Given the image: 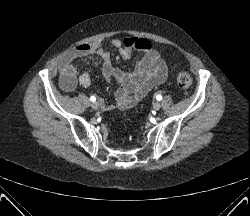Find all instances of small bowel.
<instances>
[{"label": "small bowel", "mask_w": 250, "mask_h": 216, "mask_svg": "<svg viewBox=\"0 0 250 216\" xmlns=\"http://www.w3.org/2000/svg\"><path fill=\"white\" fill-rule=\"evenodd\" d=\"M123 59H129L134 51H140L143 56L132 72H124L111 63V57L100 43L81 44L67 52L59 61L60 86L65 92H72L76 86L87 88L91 84L88 73L77 75L74 62L87 55H96L102 65L104 77L115 86V104L108 109L117 107L128 109L144 98L167 77V66L160 53L151 42L143 38L131 37L124 40L115 39L111 42Z\"/></svg>", "instance_id": "small-bowel-1"}]
</instances>
